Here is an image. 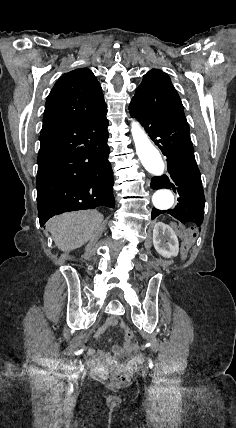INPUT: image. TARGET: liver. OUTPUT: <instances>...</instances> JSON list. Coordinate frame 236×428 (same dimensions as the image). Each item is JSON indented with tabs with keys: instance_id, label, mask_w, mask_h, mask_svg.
Here are the masks:
<instances>
[{
	"instance_id": "6515ba94",
	"label": "liver",
	"mask_w": 236,
	"mask_h": 428,
	"mask_svg": "<svg viewBox=\"0 0 236 428\" xmlns=\"http://www.w3.org/2000/svg\"><path fill=\"white\" fill-rule=\"evenodd\" d=\"M103 214L96 210L84 212H67L62 216H54L47 222V230L61 252H71L89 242L93 234L103 232Z\"/></svg>"
}]
</instances>
